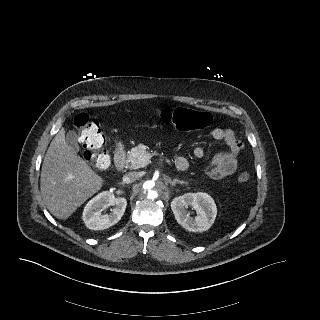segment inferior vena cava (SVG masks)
Returning <instances> with one entry per match:
<instances>
[{"label": "inferior vena cava", "instance_id": "602c4592", "mask_svg": "<svg viewBox=\"0 0 320 320\" xmlns=\"http://www.w3.org/2000/svg\"><path fill=\"white\" fill-rule=\"evenodd\" d=\"M139 177L138 172H128L127 174H125L123 176V182L124 183H131L134 182L135 180H137V178Z\"/></svg>", "mask_w": 320, "mask_h": 320}]
</instances>
